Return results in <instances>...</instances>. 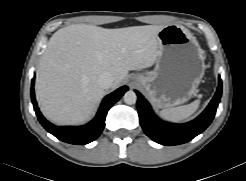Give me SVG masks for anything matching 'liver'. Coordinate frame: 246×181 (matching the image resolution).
Wrapping results in <instances>:
<instances>
[{
    "label": "liver",
    "instance_id": "6515ba94",
    "mask_svg": "<svg viewBox=\"0 0 246 181\" xmlns=\"http://www.w3.org/2000/svg\"><path fill=\"white\" fill-rule=\"evenodd\" d=\"M163 28L72 24L56 31L36 75V98L44 116L57 125L88 120L104 94L99 75L110 72L112 87H117L129 70L151 67L159 54L158 33Z\"/></svg>",
    "mask_w": 246,
    "mask_h": 181
}]
</instances>
